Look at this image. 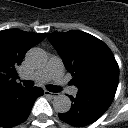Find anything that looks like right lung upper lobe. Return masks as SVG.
<instances>
[{
    "instance_id": "1",
    "label": "right lung upper lobe",
    "mask_w": 128,
    "mask_h": 128,
    "mask_svg": "<svg viewBox=\"0 0 128 128\" xmlns=\"http://www.w3.org/2000/svg\"><path fill=\"white\" fill-rule=\"evenodd\" d=\"M46 33H31L18 29L0 31V98L21 87L16 82V68L25 53L41 42Z\"/></svg>"
}]
</instances>
